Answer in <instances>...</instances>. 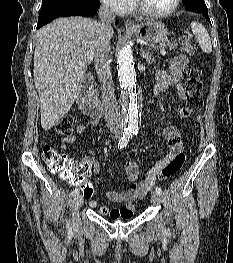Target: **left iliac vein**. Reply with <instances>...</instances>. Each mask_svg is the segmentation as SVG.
I'll list each match as a JSON object with an SVG mask.
<instances>
[{"instance_id":"obj_1","label":"left iliac vein","mask_w":233,"mask_h":263,"mask_svg":"<svg viewBox=\"0 0 233 263\" xmlns=\"http://www.w3.org/2000/svg\"><path fill=\"white\" fill-rule=\"evenodd\" d=\"M161 201L160 195L157 192H153L152 196H151V202L154 205H158Z\"/></svg>"}]
</instances>
